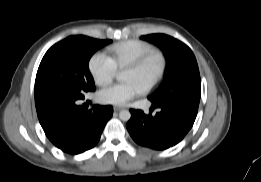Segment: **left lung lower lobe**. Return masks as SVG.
I'll list each match as a JSON object with an SVG mask.
<instances>
[{"instance_id": "left-lung-lower-lobe-1", "label": "left lung lower lobe", "mask_w": 261, "mask_h": 182, "mask_svg": "<svg viewBox=\"0 0 261 182\" xmlns=\"http://www.w3.org/2000/svg\"><path fill=\"white\" fill-rule=\"evenodd\" d=\"M200 98L184 97L168 104L152 105L161 111L152 116L141 110L131 109L127 130L133 140L156 150L167 149L180 142L193 126Z\"/></svg>"}]
</instances>
